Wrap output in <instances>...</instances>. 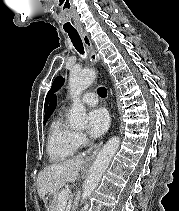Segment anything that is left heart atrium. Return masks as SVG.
<instances>
[{
  "mask_svg": "<svg viewBox=\"0 0 179 211\" xmlns=\"http://www.w3.org/2000/svg\"><path fill=\"white\" fill-rule=\"evenodd\" d=\"M87 123L90 136L98 138L102 136L109 127V114L103 108H95L88 113Z\"/></svg>",
  "mask_w": 179,
  "mask_h": 211,
  "instance_id": "39dd6f15",
  "label": "left heart atrium"
}]
</instances>
